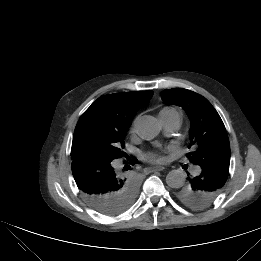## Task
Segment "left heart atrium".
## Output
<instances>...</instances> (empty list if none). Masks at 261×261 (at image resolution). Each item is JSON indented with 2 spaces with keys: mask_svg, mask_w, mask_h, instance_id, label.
<instances>
[{
  "mask_svg": "<svg viewBox=\"0 0 261 261\" xmlns=\"http://www.w3.org/2000/svg\"><path fill=\"white\" fill-rule=\"evenodd\" d=\"M167 151L168 149L149 152L145 155V159L152 163H158V164L165 163L167 161V158L164 155V153H166Z\"/></svg>",
  "mask_w": 261,
  "mask_h": 261,
  "instance_id": "left-heart-atrium-1",
  "label": "left heart atrium"
}]
</instances>
